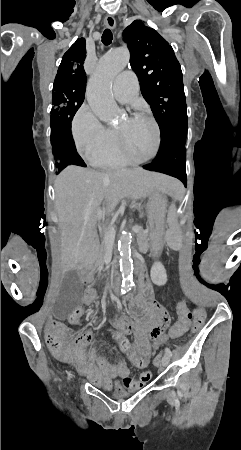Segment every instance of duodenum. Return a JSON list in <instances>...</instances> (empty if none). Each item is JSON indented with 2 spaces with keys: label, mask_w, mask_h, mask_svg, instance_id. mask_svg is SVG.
Masks as SVG:
<instances>
[{
  "label": "duodenum",
  "mask_w": 241,
  "mask_h": 450,
  "mask_svg": "<svg viewBox=\"0 0 241 450\" xmlns=\"http://www.w3.org/2000/svg\"><path fill=\"white\" fill-rule=\"evenodd\" d=\"M137 277H138V284L141 291L144 293L149 291V285L145 276L144 267L142 264H137ZM93 276L92 272L90 270H86L82 274V281L86 284H89L92 282ZM110 291H120L122 289V279L119 274H116V276L112 279L110 285H109Z\"/></svg>",
  "instance_id": "410a0bca"
}]
</instances>
